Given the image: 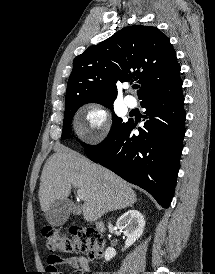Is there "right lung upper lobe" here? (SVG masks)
Listing matches in <instances>:
<instances>
[{
    "instance_id": "obj_1",
    "label": "right lung upper lobe",
    "mask_w": 215,
    "mask_h": 274,
    "mask_svg": "<svg viewBox=\"0 0 215 274\" xmlns=\"http://www.w3.org/2000/svg\"><path fill=\"white\" fill-rule=\"evenodd\" d=\"M133 81L141 84L138 96L142 101L182 88L176 52L169 38L156 27H124L77 56L67 84L65 106L113 102L117 97L116 83Z\"/></svg>"
}]
</instances>
